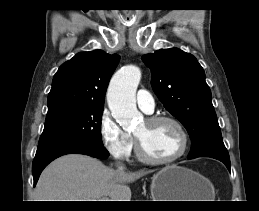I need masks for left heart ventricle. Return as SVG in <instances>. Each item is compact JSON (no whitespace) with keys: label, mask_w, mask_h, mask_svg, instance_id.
<instances>
[{"label":"left heart ventricle","mask_w":259,"mask_h":211,"mask_svg":"<svg viewBox=\"0 0 259 211\" xmlns=\"http://www.w3.org/2000/svg\"><path fill=\"white\" fill-rule=\"evenodd\" d=\"M135 135L140 139L146 153L154 158L174 155L181 144L177 129L167 122L150 124L145 120L136 129Z\"/></svg>","instance_id":"left-heart-ventricle-1"}]
</instances>
